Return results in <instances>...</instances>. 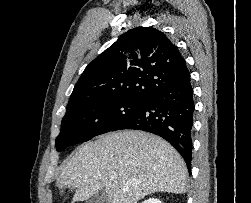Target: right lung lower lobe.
Listing matches in <instances>:
<instances>
[{
    "label": "right lung lower lobe",
    "instance_id": "right-lung-lower-lobe-1",
    "mask_svg": "<svg viewBox=\"0 0 251 203\" xmlns=\"http://www.w3.org/2000/svg\"><path fill=\"white\" fill-rule=\"evenodd\" d=\"M195 104L189 71L153 93L136 112L111 131L137 129L161 136L181 154L188 170L192 160Z\"/></svg>",
    "mask_w": 251,
    "mask_h": 203
}]
</instances>
